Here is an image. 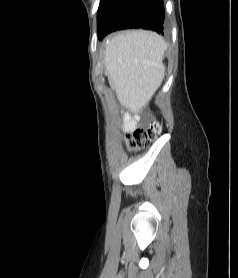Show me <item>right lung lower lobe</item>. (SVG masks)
Here are the masks:
<instances>
[{
    "instance_id": "1",
    "label": "right lung lower lobe",
    "mask_w": 238,
    "mask_h": 278,
    "mask_svg": "<svg viewBox=\"0 0 238 278\" xmlns=\"http://www.w3.org/2000/svg\"><path fill=\"white\" fill-rule=\"evenodd\" d=\"M164 18L163 0H101L97 13L98 38L126 28L163 34Z\"/></svg>"
}]
</instances>
